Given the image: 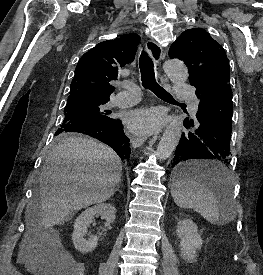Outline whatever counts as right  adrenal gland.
<instances>
[{
	"label": "right adrenal gland",
	"mask_w": 263,
	"mask_h": 275,
	"mask_svg": "<svg viewBox=\"0 0 263 275\" xmlns=\"http://www.w3.org/2000/svg\"><path fill=\"white\" fill-rule=\"evenodd\" d=\"M116 191H118V192L121 193V191H120V183L117 184V188L114 190L113 194H114Z\"/></svg>",
	"instance_id": "1"
}]
</instances>
